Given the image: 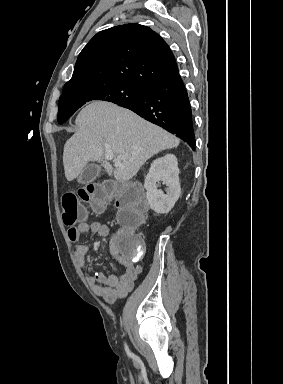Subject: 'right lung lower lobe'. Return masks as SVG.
<instances>
[{"instance_id": "98d812e1", "label": "right lung lower lobe", "mask_w": 283, "mask_h": 384, "mask_svg": "<svg viewBox=\"0 0 283 384\" xmlns=\"http://www.w3.org/2000/svg\"><path fill=\"white\" fill-rule=\"evenodd\" d=\"M117 105L175 134L195 150L192 111L179 73L153 83L140 98Z\"/></svg>"}]
</instances>
